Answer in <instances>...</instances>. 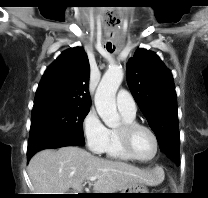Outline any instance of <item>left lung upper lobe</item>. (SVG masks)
Wrapping results in <instances>:
<instances>
[{"label": "left lung upper lobe", "mask_w": 208, "mask_h": 198, "mask_svg": "<svg viewBox=\"0 0 208 198\" xmlns=\"http://www.w3.org/2000/svg\"><path fill=\"white\" fill-rule=\"evenodd\" d=\"M126 67L130 91L156 134L160 149L179 164L177 96L171 71L146 49H138Z\"/></svg>", "instance_id": "5c2ea615"}]
</instances>
